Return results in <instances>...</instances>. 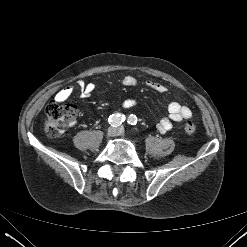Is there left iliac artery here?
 <instances>
[{"mask_svg":"<svg viewBox=\"0 0 247 247\" xmlns=\"http://www.w3.org/2000/svg\"><path fill=\"white\" fill-rule=\"evenodd\" d=\"M127 122H128L129 125H135L137 123V117L135 115L131 114L128 117Z\"/></svg>","mask_w":247,"mask_h":247,"instance_id":"1","label":"left iliac artery"}]
</instances>
